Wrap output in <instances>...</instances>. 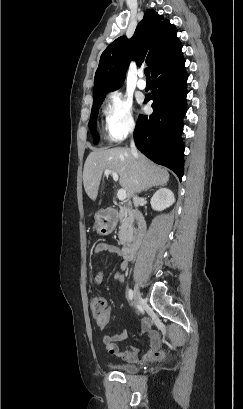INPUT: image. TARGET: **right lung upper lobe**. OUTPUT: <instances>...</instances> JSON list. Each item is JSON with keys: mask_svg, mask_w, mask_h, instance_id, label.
<instances>
[{"mask_svg": "<svg viewBox=\"0 0 243 409\" xmlns=\"http://www.w3.org/2000/svg\"><path fill=\"white\" fill-rule=\"evenodd\" d=\"M181 46L177 29L152 9L145 12L131 39L121 36L102 53L94 78V100L122 86L130 60L146 62L151 74Z\"/></svg>", "mask_w": 243, "mask_h": 409, "instance_id": "right-lung-upper-lobe-1", "label": "right lung upper lobe"}]
</instances>
